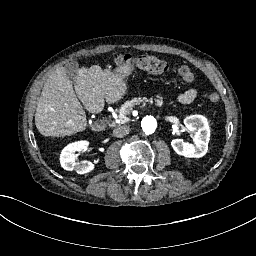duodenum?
Here are the masks:
<instances>
[{"label":"duodenum","instance_id":"obj_1","mask_svg":"<svg viewBox=\"0 0 256 256\" xmlns=\"http://www.w3.org/2000/svg\"><path fill=\"white\" fill-rule=\"evenodd\" d=\"M135 64L132 60L127 59L123 64L116 70V77L119 80H126L129 74L134 70ZM107 124V117L103 115L100 122L94 127L95 132H102Z\"/></svg>","mask_w":256,"mask_h":256}]
</instances>
